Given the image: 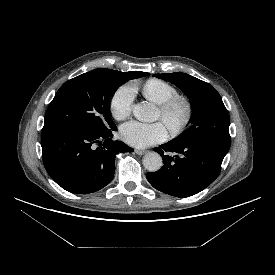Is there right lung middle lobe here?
I'll return each instance as SVG.
<instances>
[{
    "instance_id": "1",
    "label": "right lung middle lobe",
    "mask_w": 275,
    "mask_h": 275,
    "mask_svg": "<svg viewBox=\"0 0 275 275\" xmlns=\"http://www.w3.org/2000/svg\"><path fill=\"white\" fill-rule=\"evenodd\" d=\"M129 79L123 72L99 68L68 80L50 103L44 125L70 124L92 131L114 128L110 98Z\"/></svg>"
}]
</instances>
